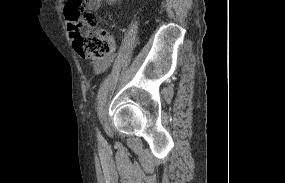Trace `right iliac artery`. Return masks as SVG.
<instances>
[{"label":"right iliac artery","instance_id":"right-iliac-artery-1","mask_svg":"<svg viewBox=\"0 0 285 183\" xmlns=\"http://www.w3.org/2000/svg\"><path fill=\"white\" fill-rule=\"evenodd\" d=\"M98 139L100 140V141H102L103 140V138H102V136L100 135V133L98 132Z\"/></svg>","mask_w":285,"mask_h":183}]
</instances>
